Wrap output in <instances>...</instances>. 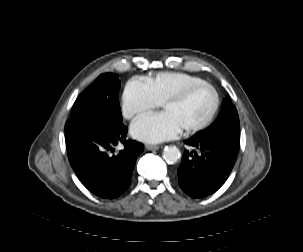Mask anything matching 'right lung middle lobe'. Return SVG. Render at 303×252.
I'll return each mask as SVG.
<instances>
[{
	"instance_id": "right-lung-middle-lobe-1",
	"label": "right lung middle lobe",
	"mask_w": 303,
	"mask_h": 252,
	"mask_svg": "<svg viewBox=\"0 0 303 252\" xmlns=\"http://www.w3.org/2000/svg\"><path fill=\"white\" fill-rule=\"evenodd\" d=\"M120 82L115 74H102L73 105L69 124L87 120L111 126H124L119 106Z\"/></svg>"
}]
</instances>
